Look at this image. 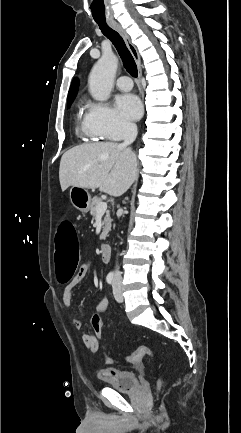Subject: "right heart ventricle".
<instances>
[{
    "mask_svg": "<svg viewBox=\"0 0 241 433\" xmlns=\"http://www.w3.org/2000/svg\"><path fill=\"white\" fill-rule=\"evenodd\" d=\"M79 130L82 135L86 136L92 141H98L101 137L93 135L87 128L85 117L79 122Z\"/></svg>",
    "mask_w": 241,
    "mask_h": 433,
    "instance_id": "right-heart-ventricle-1",
    "label": "right heart ventricle"
}]
</instances>
